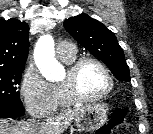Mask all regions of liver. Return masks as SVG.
<instances>
[{"instance_id": "obj_1", "label": "liver", "mask_w": 153, "mask_h": 134, "mask_svg": "<svg viewBox=\"0 0 153 134\" xmlns=\"http://www.w3.org/2000/svg\"><path fill=\"white\" fill-rule=\"evenodd\" d=\"M82 108L68 109L55 117L50 122H16L14 120L0 118V134H45L52 132L49 127L53 126L56 132H63L70 122L76 118Z\"/></svg>"}]
</instances>
